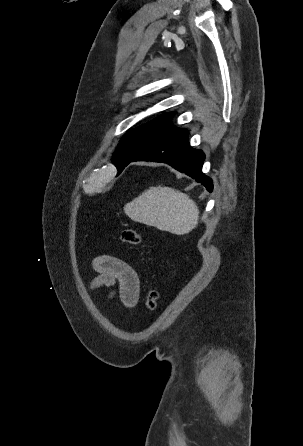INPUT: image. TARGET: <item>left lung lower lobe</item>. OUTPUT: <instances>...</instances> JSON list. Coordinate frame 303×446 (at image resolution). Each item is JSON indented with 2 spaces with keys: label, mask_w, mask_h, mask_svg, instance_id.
Wrapping results in <instances>:
<instances>
[{
  "label": "left lung lower lobe",
  "mask_w": 303,
  "mask_h": 446,
  "mask_svg": "<svg viewBox=\"0 0 303 446\" xmlns=\"http://www.w3.org/2000/svg\"><path fill=\"white\" fill-rule=\"evenodd\" d=\"M188 135L189 131L186 128L179 129L174 134L150 145L136 156L125 160L118 168L119 173L130 162H163L196 179L197 182H200L211 192L213 189L212 180L202 173L205 155L201 150L190 147Z\"/></svg>",
  "instance_id": "0a47b994"
}]
</instances>
